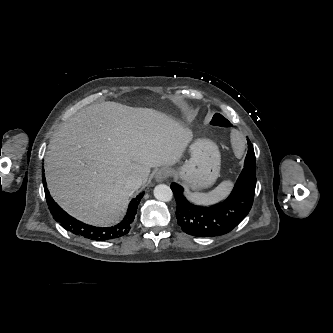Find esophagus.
<instances>
[{
	"instance_id": "1",
	"label": "esophagus",
	"mask_w": 333,
	"mask_h": 333,
	"mask_svg": "<svg viewBox=\"0 0 333 333\" xmlns=\"http://www.w3.org/2000/svg\"><path fill=\"white\" fill-rule=\"evenodd\" d=\"M169 174H170V172H169L168 169H166V168H161V169H159V170L156 172V174H155V179H156V181H158V182H162V181H164V180H166V179L168 178Z\"/></svg>"
}]
</instances>
